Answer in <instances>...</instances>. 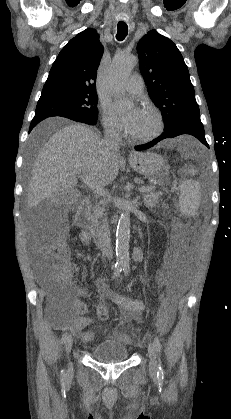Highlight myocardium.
<instances>
[{"instance_id": "obj_1", "label": "myocardium", "mask_w": 231, "mask_h": 419, "mask_svg": "<svg viewBox=\"0 0 231 419\" xmlns=\"http://www.w3.org/2000/svg\"><path fill=\"white\" fill-rule=\"evenodd\" d=\"M145 110L148 111L149 113H151L153 115V117L155 118L156 128L153 132H151L147 135H143V136L131 135V138L134 141H137V142H150V141L154 140L155 138H157L162 133L163 128H164L163 117H162V115H161V113L159 112L158 109H156L155 107H153L151 105H147L145 107Z\"/></svg>"}]
</instances>
